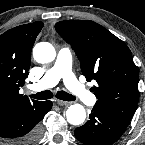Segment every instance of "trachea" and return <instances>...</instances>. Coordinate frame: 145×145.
Returning <instances> with one entry per match:
<instances>
[{"mask_svg":"<svg viewBox=\"0 0 145 145\" xmlns=\"http://www.w3.org/2000/svg\"><path fill=\"white\" fill-rule=\"evenodd\" d=\"M31 98L38 99V100H46L53 97V93L50 90H45L36 94L30 95ZM56 97L58 99L64 100V101H74L76 98L70 94H68L65 91H58L56 93Z\"/></svg>","mask_w":145,"mask_h":145,"instance_id":"trachea-1","label":"trachea"}]
</instances>
